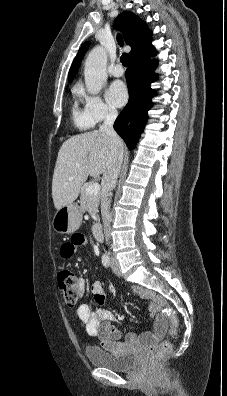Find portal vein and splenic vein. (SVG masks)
<instances>
[{"instance_id":"18ae733b","label":"portal vein and splenic vein","mask_w":227,"mask_h":396,"mask_svg":"<svg viewBox=\"0 0 227 396\" xmlns=\"http://www.w3.org/2000/svg\"><path fill=\"white\" fill-rule=\"evenodd\" d=\"M76 166H79V164H76ZM100 191V185L98 183H92L87 187V194L89 195H96Z\"/></svg>"}]
</instances>
